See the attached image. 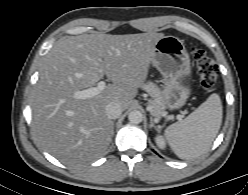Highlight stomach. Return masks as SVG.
<instances>
[{"label":"stomach","instance_id":"1","mask_svg":"<svg viewBox=\"0 0 248 195\" xmlns=\"http://www.w3.org/2000/svg\"><path fill=\"white\" fill-rule=\"evenodd\" d=\"M151 63L163 77L161 95L165 108L174 110L184 106L190 96V87L183 80L190 77L191 65L183 42L175 36H164L154 46Z\"/></svg>","mask_w":248,"mask_h":195}]
</instances>
